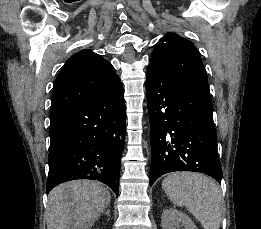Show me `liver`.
I'll return each mask as SVG.
<instances>
[{
    "label": "liver",
    "instance_id": "liver-1",
    "mask_svg": "<svg viewBox=\"0 0 261 229\" xmlns=\"http://www.w3.org/2000/svg\"><path fill=\"white\" fill-rule=\"evenodd\" d=\"M111 195L97 181H69L48 195L47 229H91L109 207Z\"/></svg>",
    "mask_w": 261,
    "mask_h": 229
}]
</instances>
